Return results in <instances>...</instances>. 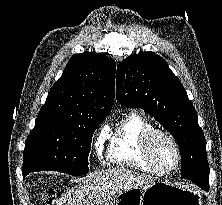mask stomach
<instances>
[{
  "label": "stomach",
  "mask_w": 222,
  "mask_h": 205,
  "mask_svg": "<svg viewBox=\"0 0 222 205\" xmlns=\"http://www.w3.org/2000/svg\"><path fill=\"white\" fill-rule=\"evenodd\" d=\"M94 205H202L199 190L184 188L159 180L144 188L120 192Z\"/></svg>",
  "instance_id": "0dacf381"
}]
</instances>
